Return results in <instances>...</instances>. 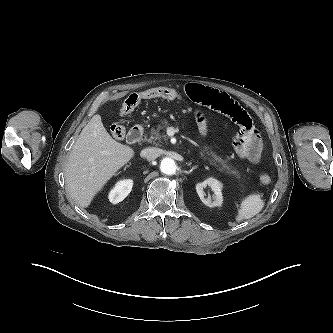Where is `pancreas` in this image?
I'll use <instances>...</instances> for the list:
<instances>
[{"mask_svg": "<svg viewBox=\"0 0 333 333\" xmlns=\"http://www.w3.org/2000/svg\"><path fill=\"white\" fill-rule=\"evenodd\" d=\"M167 126V121H164L158 125L157 129L152 128L151 132L149 133L150 136L148 137L145 135L144 140L149 143L157 144V142H160V140L164 137L160 134V130ZM200 154L204 156V158L208 160L210 164L217 167L220 171L237 175L236 170H234L233 167L228 163L227 159H223L222 157L218 156L214 151H212L211 148L204 147L201 149Z\"/></svg>", "mask_w": 333, "mask_h": 333, "instance_id": "cf45deb5", "label": "pancreas"}]
</instances>
